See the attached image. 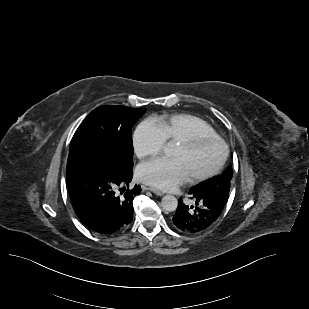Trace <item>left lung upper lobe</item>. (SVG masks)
I'll list each match as a JSON object with an SVG mask.
<instances>
[{
    "label": "left lung upper lobe",
    "instance_id": "5c2ea615",
    "mask_svg": "<svg viewBox=\"0 0 309 309\" xmlns=\"http://www.w3.org/2000/svg\"><path fill=\"white\" fill-rule=\"evenodd\" d=\"M232 177L233 169L232 166H229L222 175L208 179L196 185V187L209 193H217L228 196Z\"/></svg>",
    "mask_w": 309,
    "mask_h": 309
}]
</instances>
